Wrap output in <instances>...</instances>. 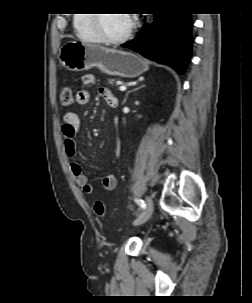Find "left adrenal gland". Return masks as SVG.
Segmentation results:
<instances>
[{"mask_svg": "<svg viewBox=\"0 0 252 303\" xmlns=\"http://www.w3.org/2000/svg\"><path fill=\"white\" fill-rule=\"evenodd\" d=\"M144 86H145V85H141L140 87L135 88V89H133L132 91H136V90H138V89H140L141 87H144ZM132 91H128V92L126 93L125 98H124V101H123V104L126 102L129 93H131Z\"/></svg>", "mask_w": 252, "mask_h": 303, "instance_id": "obj_1", "label": "left adrenal gland"}]
</instances>
